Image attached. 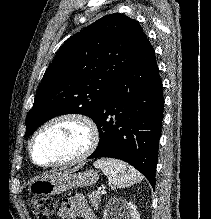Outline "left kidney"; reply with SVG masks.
<instances>
[{
	"mask_svg": "<svg viewBox=\"0 0 211 219\" xmlns=\"http://www.w3.org/2000/svg\"><path fill=\"white\" fill-rule=\"evenodd\" d=\"M103 216L104 219H140L136 205L122 199L113 200L109 207L104 210Z\"/></svg>",
	"mask_w": 211,
	"mask_h": 219,
	"instance_id": "5707ae66",
	"label": "left kidney"
}]
</instances>
